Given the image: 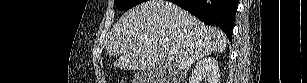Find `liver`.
<instances>
[{"instance_id":"1","label":"liver","mask_w":307,"mask_h":83,"mask_svg":"<svg viewBox=\"0 0 307 83\" xmlns=\"http://www.w3.org/2000/svg\"><path fill=\"white\" fill-rule=\"evenodd\" d=\"M227 42L220 29L204 25L175 4L149 0L123 14L110 32L106 51L119 56L115 66L141 71L163 69L167 53L175 49V68L186 71L196 60L225 50Z\"/></svg>"}]
</instances>
